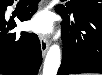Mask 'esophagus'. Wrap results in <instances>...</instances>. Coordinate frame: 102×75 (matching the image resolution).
<instances>
[{"label":"esophagus","instance_id":"esophagus-1","mask_svg":"<svg viewBox=\"0 0 102 75\" xmlns=\"http://www.w3.org/2000/svg\"><path fill=\"white\" fill-rule=\"evenodd\" d=\"M40 44L42 55L44 56L49 48V39L45 36H40Z\"/></svg>","mask_w":102,"mask_h":75}]
</instances>
